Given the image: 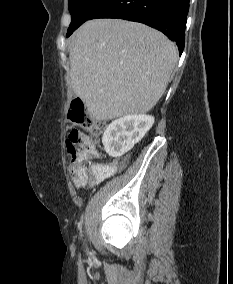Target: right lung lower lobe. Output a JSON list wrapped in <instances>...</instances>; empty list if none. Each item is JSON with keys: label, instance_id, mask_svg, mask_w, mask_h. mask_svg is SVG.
<instances>
[{"label": "right lung lower lobe", "instance_id": "1", "mask_svg": "<svg viewBox=\"0 0 233 284\" xmlns=\"http://www.w3.org/2000/svg\"><path fill=\"white\" fill-rule=\"evenodd\" d=\"M189 0H108L90 17L141 22L163 32L184 49Z\"/></svg>", "mask_w": 233, "mask_h": 284}]
</instances>
